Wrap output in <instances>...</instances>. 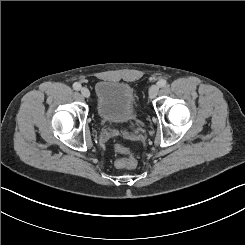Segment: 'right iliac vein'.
I'll return each mask as SVG.
<instances>
[{"mask_svg": "<svg viewBox=\"0 0 245 245\" xmlns=\"http://www.w3.org/2000/svg\"><path fill=\"white\" fill-rule=\"evenodd\" d=\"M81 94L83 97L88 98L90 96V91L87 88L83 87L81 89Z\"/></svg>", "mask_w": 245, "mask_h": 245, "instance_id": "right-iliac-vein-1", "label": "right iliac vein"}]
</instances>
